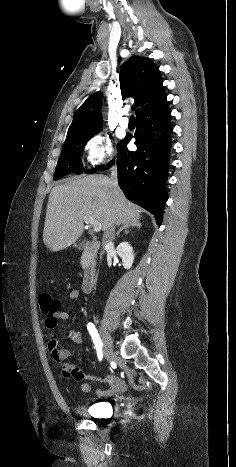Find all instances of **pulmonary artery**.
Instances as JSON below:
<instances>
[{"mask_svg":"<svg viewBox=\"0 0 236 467\" xmlns=\"http://www.w3.org/2000/svg\"><path fill=\"white\" fill-rule=\"evenodd\" d=\"M126 113H127V112L125 111V112H124V115H125V116H123V117L120 119V121H119L120 126H121L122 128H124V129H126V128L129 127V119L126 117Z\"/></svg>","mask_w":236,"mask_h":467,"instance_id":"1","label":"pulmonary artery"}]
</instances>
